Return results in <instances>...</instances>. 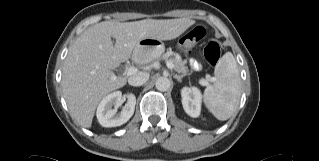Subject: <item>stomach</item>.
<instances>
[{
  "label": "stomach",
  "instance_id": "obj_1",
  "mask_svg": "<svg viewBox=\"0 0 319 161\" xmlns=\"http://www.w3.org/2000/svg\"><path fill=\"white\" fill-rule=\"evenodd\" d=\"M164 52V43L154 38H144L133 51V60L137 63L146 64L159 58Z\"/></svg>",
  "mask_w": 319,
  "mask_h": 161
}]
</instances>
